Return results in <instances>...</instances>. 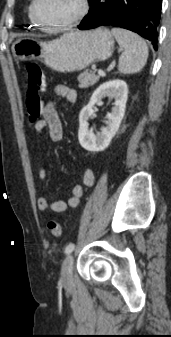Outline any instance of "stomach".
Instances as JSON below:
<instances>
[{
    "label": "stomach",
    "instance_id": "obj_1",
    "mask_svg": "<svg viewBox=\"0 0 171 337\" xmlns=\"http://www.w3.org/2000/svg\"><path fill=\"white\" fill-rule=\"evenodd\" d=\"M114 38L105 27L90 31H74L43 42L33 38L18 39L12 45L13 55L27 61L38 59L51 69L68 73L111 57Z\"/></svg>",
    "mask_w": 171,
    "mask_h": 337
}]
</instances>
